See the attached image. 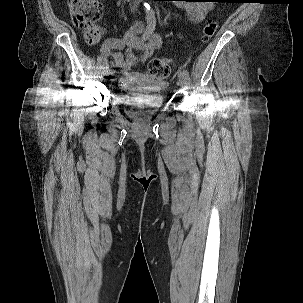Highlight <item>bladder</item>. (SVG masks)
I'll use <instances>...</instances> for the list:
<instances>
[{"label": "bladder", "instance_id": "31cf9c89", "mask_svg": "<svg viewBox=\"0 0 303 303\" xmlns=\"http://www.w3.org/2000/svg\"><path fill=\"white\" fill-rule=\"evenodd\" d=\"M162 101H144L135 102L128 100L124 103L128 116L134 120L143 119L149 115L154 114L162 107Z\"/></svg>", "mask_w": 303, "mask_h": 303}]
</instances>
